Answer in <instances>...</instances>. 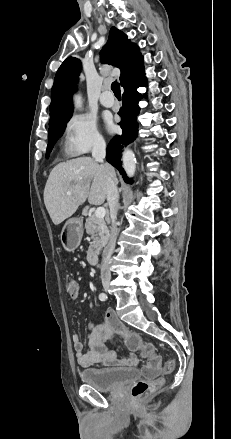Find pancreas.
<instances>
[{
  "label": "pancreas",
  "mask_w": 231,
  "mask_h": 439,
  "mask_svg": "<svg viewBox=\"0 0 231 439\" xmlns=\"http://www.w3.org/2000/svg\"><path fill=\"white\" fill-rule=\"evenodd\" d=\"M85 229L92 238L88 252L90 253L92 250L98 252L106 244L109 237L107 221L99 219L95 215H89L86 218Z\"/></svg>",
  "instance_id": "cf45deb5"
}]
</instances>
